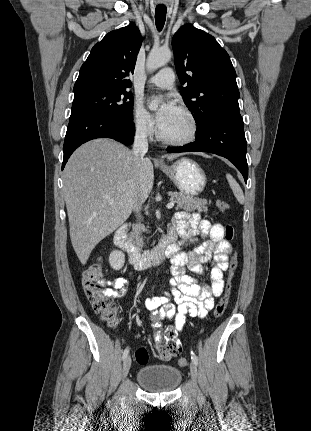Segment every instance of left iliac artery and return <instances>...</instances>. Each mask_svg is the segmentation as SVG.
Here are the masks:
<instances>
[{
    "instance_id": "1",
    "label": "left iliac artery",
    "mask_w": 311,
    "mask_h": 431,
    "mask_svg": "<svg viewBox=\"0 0 311 431\" xmlns=\"http://www.w3.org/2000/svg\"><path fill=\"white\" fill-rule=\"evenodd\" d=\"M191 359H192V362L195 365H198V358H197L196 354L193 351H191Z\"/></svg>"
}]
</instances>
